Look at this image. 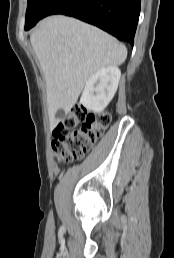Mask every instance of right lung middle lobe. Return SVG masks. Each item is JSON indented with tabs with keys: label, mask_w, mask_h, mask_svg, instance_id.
Here are the masks:
<instances>
[{
	"label": "right lung middle lobe",
	"mask_w": 174,
	"mask_h": 258,
	"mask_svg": "<svg viewBox=\"0 0 174 258\" xmlns=\"http://www.w3.org/2000/svg\"><path fill=\"white\" fill-rule=\"evenodd\" d=\"M55 0H28L25 30H29L44 17V12Z\"/></svg>",
	"instance_id": "1"
}]
</instances>
